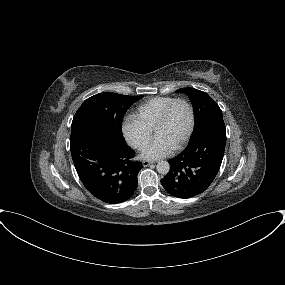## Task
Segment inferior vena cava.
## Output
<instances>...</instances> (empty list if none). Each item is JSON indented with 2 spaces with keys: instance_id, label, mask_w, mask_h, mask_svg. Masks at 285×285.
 <instances>
[{
  "instance_id": "obj_1",
  "label": "inferior vena cava",
  "mask_w": 285,
  "mask_h": 285,
  "mask_svg": "<svg viewBox=\"0 0 285 285\" xmlns=\"http://www.w3.org/2000/svg\"><path fill=\"white\" fill-rule=\"evenodd\" d=\"M141 146V143L140 142H138V143H136L135 144V147L137 148V147H140Z\"/></svg>"
}]
</instances>
